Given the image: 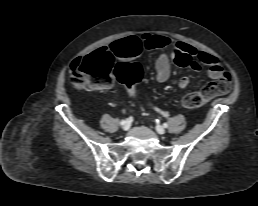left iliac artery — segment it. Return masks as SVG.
<instances>
[{
    "instance_id": "obj_1",
    "label": "left iliac artery",
    "mask_w": 258,
    "mask_h": 206,
    "mask_svg": "<svg viewBox=\"0 0 258 206\" xmlns=\"http://www.w3.org/2000/svg\"><path fill=\"white\" fill-rule=\"evenodd\" d=\"M163 126H164L165 128H167V127H168V124H167V123H164Z\"/></svg>"
}]
</instances>
